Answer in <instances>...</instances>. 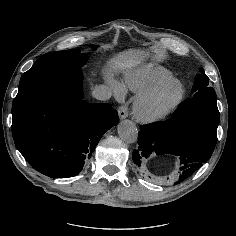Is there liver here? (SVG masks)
Masks as SVG:
<instances>
[{
	"label": "liver",
	"mask_w": 236,
	"mask_h": 236,
	"mask_svg": "<svg viewBox=\"0 0 236 236\" xmlns=\"http://www.w3.org/2000/svg\"><path fill=\"white\" fill-rule=\"evenodd\" d=\"M133 57L128 54H122L116 58L117 62L121 65L127 64Z\"/></svg>",
	"instance_id": "obj_1"
}]
</instances>
